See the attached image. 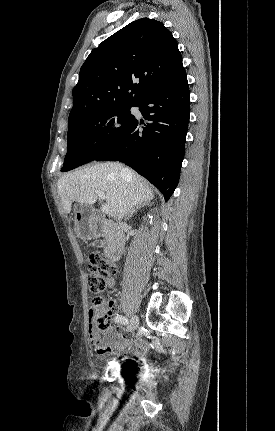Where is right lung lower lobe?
Masks as SVG:
<instances>
[{
  "instance_id": "right-lung-lower-lobe-1",
  "label": "right lung lower lobe",
  "mask_w": 275,
  "mask_h": 431,
  "mask_svg": "<svg viewBox=\"0 0 275 431\" xmlns=\"http://www.w3.org/2000/svg\"><path fill=\"white\" fill-rule=\"evenodd\" d=\"M135 106L148 122L135 118L95 160L124 162L154 184L167 201L179 181L190 116L185 69Z\"/></svg>"
}]
</instances>
